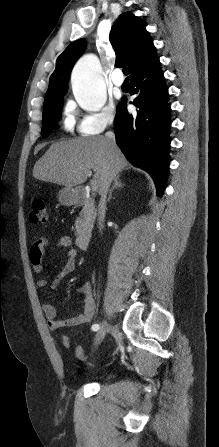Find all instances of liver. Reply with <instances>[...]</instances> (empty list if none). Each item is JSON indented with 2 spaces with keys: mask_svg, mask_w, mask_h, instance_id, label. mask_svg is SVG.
<instances>
[{
  "mask_svg": "<svg viewBox=\"0 0 219 447\" xmlns=\"http://www.w3.org/2000/svg\"><path fill=\"white\" fill-rule=\"evenodd\" d=\"M127 166V160L116 144L104 136L70 139L54 143L36 162L35 179L73 187L87 180L90 170L100 190L108 173L116 174Z\"/></svg>",
  "mask_w": 219,
  "mask_h": 447,
  "instance_id": "obj_1",
  "label": "liver"
}]
</instances>
